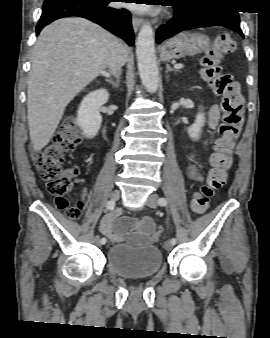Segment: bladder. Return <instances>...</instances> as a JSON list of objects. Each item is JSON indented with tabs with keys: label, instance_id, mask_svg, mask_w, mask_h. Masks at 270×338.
<instances>
[{
	"label": "bladder",
	"instance_id": "1",
	"mask_svg": "<svg viewBox=\"0 0 270 338\" xmlns=\"http://www.w3.org/2000/svg\"><path fill=\"white\" fill-rule=\"evenodd\" d=\"M162 260L161 251L153 245L132 246L120 242L106 252L107 267L124 279L152 277L162 268Z\"/></svg>",
	"mask_w": 270,
	"mask_h": 338
}]
</instances>
